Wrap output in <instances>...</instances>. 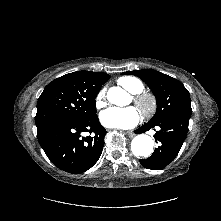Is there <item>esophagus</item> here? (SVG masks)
Wrapping results in <instances>:
<instances>
[{
  "mask_svg": "<svg viewBox=\"0 0 221 221\" xmlns=\"http://www.w3.org/2000/svg\"><path fill=\"white\" fill-rule=\"evenodd\" d=\"M130 137H133L135 134L133 133V131H127L126 132Z\"/></svg>",
  "mask_w": 221,
  "mask_h": 221,
  "instance_id": "esophagus-1",
  "label": "esophagus"
}]
</instances>
